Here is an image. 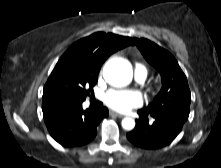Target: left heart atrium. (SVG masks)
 <instances>
[{
    "label": "left heart atrium",
    "mask_w": 221,
    "mask_h": 168,
    "mask_svg": "<svg viewBox=\"0 0 221 168\" xmlns=\"http://www.w3.org/2000/svg\"><path fill=\"white\" fill-rule=\"evenodd\" d=\"M104 102L113 110L128 112L142 104V97L132 90H110L105 94Z\"/></svg>",
    "instance_id": "1"
}]
</instances>
